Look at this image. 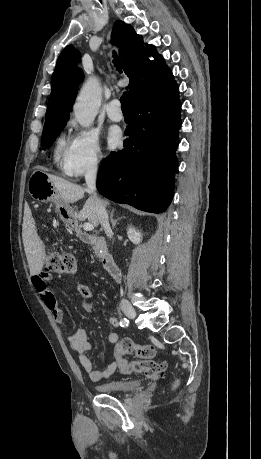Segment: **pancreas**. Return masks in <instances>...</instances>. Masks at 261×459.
<instances>
[{"label": "pancreas", "instance_id": "obj_1", "mask_svg": "<svg viewBox=\"0 0 261 459\" xmlns=\"http://www.w3.org/2000/svg\"><path fill=\"white\" fill-rule=\"evenodd\" d=\"M92 244H93V250L94 254L102 258L104 256V252L100 253V250L104 251V246L101 244L100 240L98 238H92Z\"/></svg>", "mask_w": 261, "mask_h": 459}]
</instances>
